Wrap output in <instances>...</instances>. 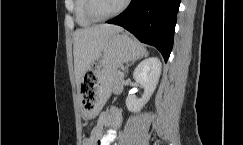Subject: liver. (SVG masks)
<instances>
[{
  "mask_svg": "<svg viewBox=\"0 0 243 145\" xmlns=\"http://www.w3.org/2000/svg\"><path fill=\"white\" fill-rule=\"evenodd\" d=\"M122 31L123 28L120 26L101 24L77 29L74 32V69L78 88L91 64L100 57L110 37Z\"/></svg>",
  "mask_w": 243,
  "mask_h": 145,
  "instance_id": "obj_1",
  "label": "liver"
}]
</instances>
